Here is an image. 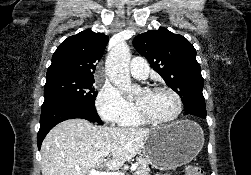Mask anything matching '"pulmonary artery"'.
Here are the masks:
<instances>
[{
  "instance_id": "obj_1",
  "label": "pulmonary artery",
  "mask_w": 251,
  "mask_h": 175,
  "mask_svg": "<svg viewBox=\"0 0 251 175\" xmlns=\"http://www.w3.org/2000/svg\"><path fill=\"white\" fill-rule=\"evenodd\" d=\"M147 66L146 58H134V62H130V73L135 78L145 79L149 71Z\"/></svg>"
}]
</instances>
